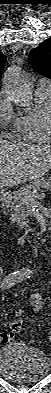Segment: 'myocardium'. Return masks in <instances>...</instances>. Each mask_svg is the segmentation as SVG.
<instances>
[{
	"mask_svg": "<svg viewBox=\"0 0 51 393\" xmlns=\"http://www.w3.org/2000/svg\"><path fill=\"white\" fill-rule=\"evenodd\" d=\"M48 117H49V123H50V125H51V108H50V111H49Z\"/></svg>",
	"mask_w": 51,
	"mask_h": 393,
	"instance_id": "f54148a6",
	"label": "myocardium"
}]
</instances>
